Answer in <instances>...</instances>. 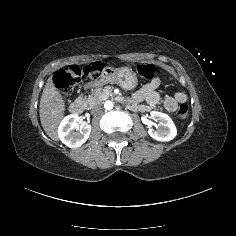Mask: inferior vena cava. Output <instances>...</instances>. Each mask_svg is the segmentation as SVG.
<instances>
[{"mask_svg":"<svg viewBox=\"0 0 236 236\" xmlns=\"http://www.w3.org/2000/svg\"><path fill=\"white\" fill-rule=\"evenodd\" d=\"M103 112V106L101 104H95L91 108V113L94 115L100 114Z\"/></svg>","mask_w":236,"mask_h":236,"instance_id":"obj_1","label":"inferior vena cava"}]
</instances>
